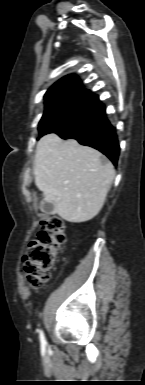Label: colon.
Segmentation results:
<instances>
[{
  "instance_id": "5ec220e1",
  "label": "colon",
  "mask_w": 145,
  "mask_h": 385,
  "mask_svg": "<svg viewBox=\"0 0 145 385\" xmlns=\"http://www.w3.org/2000/svg\"><path fill=\"white\" fill-rule=\"evenodd\" d=\"M64 232V221L60 217L50 216L40 221L37 239L30 242L24 256V271L33 289L50 279L58 251L65 241Z\"/></svg>"
}]
</instances>
